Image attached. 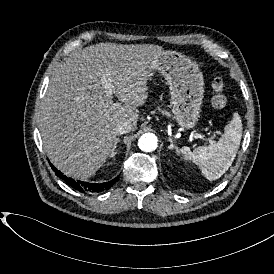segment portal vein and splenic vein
I'll return each instance as SVG.
<instances>
[{"mask_svg": "<svg viewBox=\"0 0 274 274\" xmlns=\"http://www.w3.org/2000/svg\"><path fill=\"white\" fill-rule=\"evenodd\" d=\"M102 81H103V84H104V88L106 90V95L107 96H112V94H113V90H112L113 85L110 82H108L105 77L102 79ZM201 138H202V136H201Z\"/></svg>", "mask_w": 274, "mask_h": 274, "instance_id": "portal-vein-and-splenic-vein-1", "label": "portal vein and splenic vein"}]
</instances>
